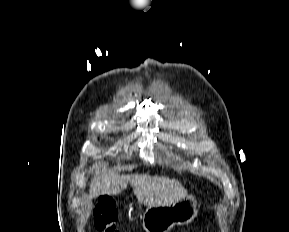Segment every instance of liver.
<instances>
[{
    "mask_svg": "<svg viewBox=\"0 0 289 232\" xmlns=\"http://www.w3.org/2000/svg\"><path fill=\"white\" fill-rule=\"evenodd\" d=\"M94 176L90 183V198L117 195L131 184L138 201L148 207L168 205L187 196V190L175 179L148 174L119 175L108 172L106 164L92 165Z\"/></svg>",
    "mask_w": 289,
    "mask_h": 232,
    "instance_id": "obj_1",
    "label": "liver"
}]
</instances>
